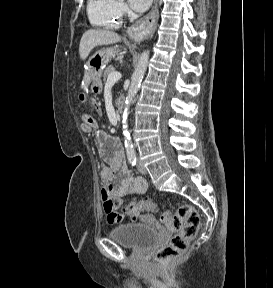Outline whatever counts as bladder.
Returning <instances> with one entry per match:
<instances>
[{
	"label": "bladder",
	"mask_w": 273,
	"mask_h": 288,
	"mask_svg": "<svg viewBox=\"0 0 273 288\" xmlns=\"http://www.w3.org/2000/svg\"><path fill=\"white\" fill-rule=\"evenodd\" d=\"M109 237L126 248L144 252L158 242L160 232L153 226L140 223H127L113 228L109 233Z\"/></svg>",
	"instance_id": "31cf9c89"
}]
</instances>
